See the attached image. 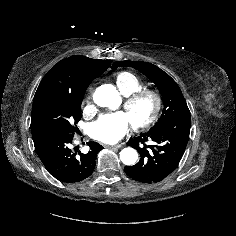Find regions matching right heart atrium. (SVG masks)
<instances>
[{
  "mask_svg": "<svg viewBox=\"0 0 236 236\" xmlns=\"http://www.w3.org/2000/svg\"><path fill=\"white\" fill-rule=\"evenodd\" d=\"M86 104H87V107H88L89 104H90V101H89V94H88V96H87V98H86Z\"/></svg>",
  "mask_w": 236,
  "mask_h": 236,
  "instance_id": "1",
  "label": "right heart atrium"
}]
</instances>
